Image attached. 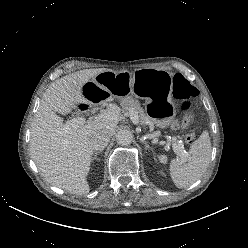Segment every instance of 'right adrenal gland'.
I'll use <instances>...</instances> for the list:
<instances>
[{
  "mask_svg": "<svg viewBox=\"0 0 248 248\" xmlns=\"http://www.w3.org/2000/svg\"><path fill=\"white\" fill-rule=\"evenodd\" d=\"M102 151H97L94 153V156L92 157V160H98L97 155L101 153Z\"/></svg>",
  "mask_w": 248,
  "mask_h": 248,
  "instance_id": "2a0ac1e0",
  "label": "right adrenal gland"
}]
</instances>
